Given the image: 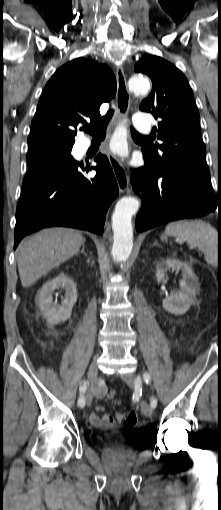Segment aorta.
Instances as JSON below:
<instances>
[{
    "label": "aorta",
    "mask_w": 221,
    "mask_h": 510,
    "mask_svg": "<svg viewBox=\"0 0 221 510\" xmlns=\"http://www.w3.org/2000/svg\"><path fill=\"white\" fill-rule=\"evenodd\" d=\"M129 88L134 93H147L150 89V82L143 75H134L129 79ZM110 147L113 153L121 157L128 156L127 130L125 125H118L112 136ZM139 206V201L132 196H125L116 203L112 215L113 246L111 251L116 261H126L131 254L133 248L131 219L138 211Z\"/></svg>",
    "instance_id": "aorta-1"
}]
</instances>
